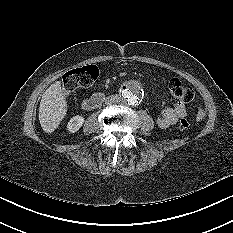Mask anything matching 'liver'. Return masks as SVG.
<instances>
[{"label":"liver","instance_id":"liver-1","mask_svg":"<svg viewBox=\"0 0 233 233\" xmlns=\"http://www.w3.org/2000/svg\"><path fill=\"white\" fill-rule=\"evenodd\" d=\"M67 112V101L61 82L51 84L42 95L39 107V121L46 133L54 132Z\"/></svg>","mask_w":233,"mask_h":233}]
</instances>
